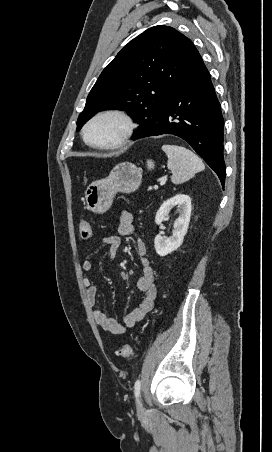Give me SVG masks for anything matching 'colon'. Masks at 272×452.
Returning a JSON list of instances; mask_svg holds the SVG:
<instances>
[{
	"label": "colon",
	"instance_id": "obj_1",
	"mask_svg": "<svg viewBox=\"0 0 272 452\" xmlns=\"http://www.w3.org/2000/svg\"><path fill=\"white\" fill-rule=\"evenodd\" d=\"M79 229L82 238L89 239L93 235V230L91 224L87 220H81L79 223ZM116 354L124 359H130L133 357V348L131 345H123L116 351Z\"/></svg>",
	"mask_w": 272,
	"mask_h": 452
}]
</instances>
